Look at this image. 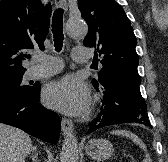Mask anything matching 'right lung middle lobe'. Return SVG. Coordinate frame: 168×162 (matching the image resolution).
<instances>
[{
    "label": "right lung middle lobe",
    "instance_id": "1",
    "mask_svg": "<svg viewBox=\"0 0 168 162\" xmlns=\"http://www.w3.org/2000/svg\"><path fill=\"white\" fill-rule=\"evenodd\" d=\"M24 73H13L0 75V90L7 89H19L21 91H27L31 88L28 85H22V78Z\"/></svg>",
    "mask_w": 168,
    "mask_h": 162
}]
</instances>
